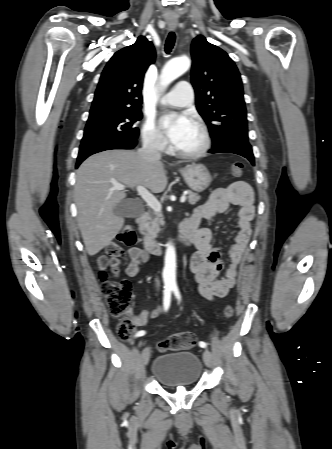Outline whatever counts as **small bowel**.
<instances>
[{
  "instance_id": "obj_1",
  "label": "small bowel",
  "mask_w": 332,
  "mask_h": 449,
  "mask_svg": "<svg viewBox=\"0 0 332 449\" xmlns=\"http://www.w3.org/2000/svg\"><path fill=\"white\" fill-rule=\"evenodd\" d=\"M253 200V191L247 183L234 182L229 187L214 191L210 199L199 205L189 217L194 229L192 242L197 250L191 259V270L201 296L210 300L222 298L234 287L237 270L251 236V222L255 213ZM230 205L240 207L238 234L229 251V262L224 265L218 248L213 245L210 229L202 226V222L225 212ZM127 256L129 261L125 273L134 277L140 266L147 262L148 254L139 247H131L127 250ZM161 312L160 307L152 312L143 311L133 316V321L137 326H143Z\"/></svg>"
}]
</instances>
